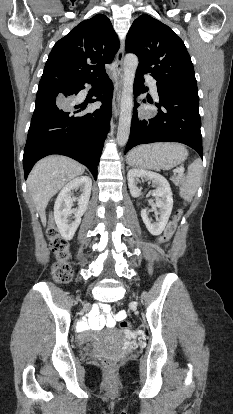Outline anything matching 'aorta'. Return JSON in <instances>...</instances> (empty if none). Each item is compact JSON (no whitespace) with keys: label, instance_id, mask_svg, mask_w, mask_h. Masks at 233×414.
<instances>
[{"label":"aorta","instance_id":"762f6f07","mask_svg":"<svg viewBox=\"0 0 233 414\" xmlns=\"http://www.w3.org/2000/svg\"><path fill=\"white\" fill-rule=\"evenodd\" d=\"M137 66V56L134 54H127L124 58L123 88L117 131V142L120 146H124L127 143L130 135L133 83Z\"/></svg>","mask_w":233,"mask_h":414}]
</instances>
